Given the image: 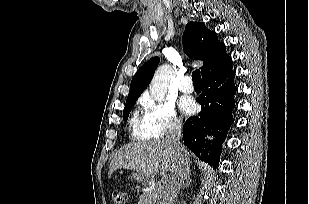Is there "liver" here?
I'll return each instance as SVG.
<instances>
[{"label":"liver","instance_id":"6515ba94","mask_svg":"<svg viewBox=\"0 0 309 204\" xmlns=\"http://www.w3.org/2000/svg\"><path fill=\"white\" fill-rule=\"evenodd\" d=\"M186 153L189 156V151L186 150ZM176 162V154L166 140L130 143L114 156L109 176L119 168H127L150 177L159 171L172 173Z\"/></svg>","mask_w":309,"mask_h":204}]
</instances>
